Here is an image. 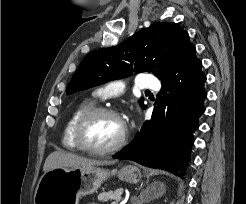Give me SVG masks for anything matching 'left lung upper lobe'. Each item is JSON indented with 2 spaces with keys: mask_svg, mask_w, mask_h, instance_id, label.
<instances>
[{
  "mask_svg": "<svg viewBox=\"0 0 246 204\" xmlns=\"http://www.w3.org/2000/svg\"><path fill=\"white\" fill-rule=\"evenodd\" d=\"M193 45L176 23L157 22L121 44L93 51L81 62L67 86V94L85 90L133 72L152 71L166 77ZM143 104V99H140Z\"/></svg>",
  "mask_w": 246,
  "mask_h": 204,
  "instance_id": "5c2ea615",
  "label": "left lung upper lobe"
}]
</instances>
